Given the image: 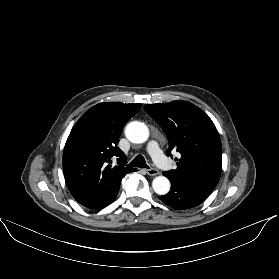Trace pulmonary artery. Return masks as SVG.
Returning <instances> with one entry per match:
<instances>
[{
  "label": "pulmonary artery",
  "instance_id": "1",
  "mask_svg": "<svg viewBox=\"0 0 279 279\" xmlns=\"http://www.w3.org/2000/svg\"><path fill=\"white\" fill-rule=\"evenodd\" d=\"M146 151L161 169L169 170L171 168L170 162L162 154L157 141H151L147 145Z\"/></svg>",
  "mask_w": 279,
  "mask_h": 279
}]
</instances>
